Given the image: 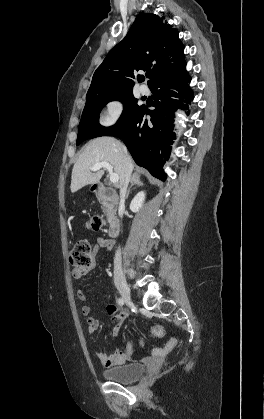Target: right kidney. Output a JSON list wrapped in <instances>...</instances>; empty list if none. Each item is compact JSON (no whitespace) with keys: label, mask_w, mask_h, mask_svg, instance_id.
<instances>
[{"label":"right kidney","mask_w":264,"mask_h":419,"mask_svg":"<svg viewBox=\"0 0 264 419\" xmlns=\"http://www.w3.org/2000/svg\"><path fill=\"white\" fill-rule=\"evenodd\" d=\"M145 200L144 191L138 192L130 203V210L134 213L138 212L143 206Z\"/></svg>","instance_id":"1"}]
</instances>
